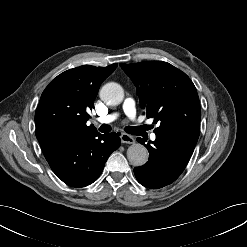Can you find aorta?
Returning <instances> with one entry per match:
<instances>
[{
  "mask_svg": "<svg viewBox=\"0 0 247 247\" xmlns=\"http://www.w3.org/2000/svg\"><path fill=\"white\" fill-rule=\"evenodd\" d=\"M100 98L107 105H118L124 98L123 88L118 83L109 82L101 88ZM148 157V150L142 144L134 143L127 149V158L134 166L144 165L148 161Z\"/></svg>",
  "mask_w": 247,
  "mask_h": 247,
  "instance_id": "1",
  "label": "aorta"
}]
</instances>
